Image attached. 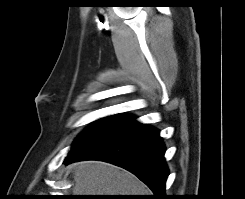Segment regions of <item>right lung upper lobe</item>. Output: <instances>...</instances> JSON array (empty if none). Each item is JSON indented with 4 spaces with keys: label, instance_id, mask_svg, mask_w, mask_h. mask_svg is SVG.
Returning <instances> with one entry per match:
<instances>
[{
    "label": "right lung upper lobe",
    "instance_id": "right-lung-upper-lobe-1",
    "mask_svg": "<svg viewBox=\"0 0 245 199\" xmlns=\"http://www.w3.org/2000/svg\"><path fill=\"white\" fill-rule=\"evenodd\" d=\"M125 117H127V118H129L130 116H128V115H124Z\"/></svg>",
    "mask_w": 245,
    "mask_h": 199
}]
</instances>
